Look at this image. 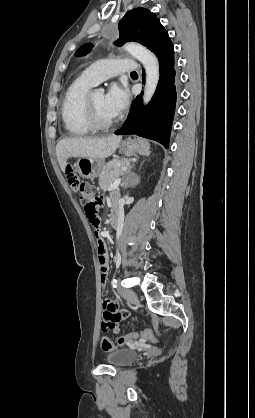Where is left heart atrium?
<instances>
[{
    "label": "left heart atrium",
    "mask_w": 255,
    "mask_h": 418,
    "mask_svg": "<svg viewBox=\"0 0 255 418\" xmlns=\"http://www.w3.org/2000/svg\"><path fill=\"white\" fill-rule=\"evenodd\" d=\"M129 95L125 88L112 85L104 96V107L107 113L115 118L128 106Z\"/></svg>",
    "instance_id": "obj_1"
}]
</instances>
